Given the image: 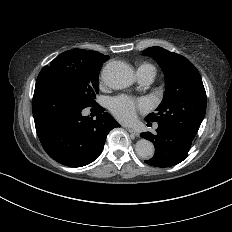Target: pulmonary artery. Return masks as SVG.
Masks as SVG:
<instances>
[{
  "mask_svg": "<svg viewBox=\"0 0 232 232\" xmlns=\"http://www.w3.org/2000/svg\"><path fill=\"white\" fill-rule=\"evenodd\" d=\"M154 79V71L149 65H142L138 69V76L136 78V85L140 89H147L150 87Z\"/></svg>",
  "mask_w": 232,
  "mask_h": 232,
  "instance_id": "pulmonary-artery-1",
  "label": "pulmonary artery"
}]
</instances>
